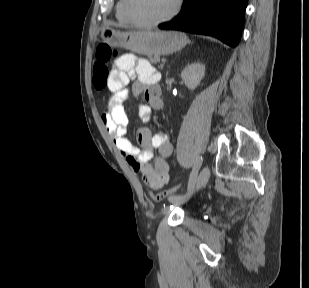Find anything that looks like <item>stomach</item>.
I'll use <instances>...</instances> for the list:
<instances>
[{"mask_svg": "<svg viewBox=\"0 0 309 288\" xmlns=\"http://www.w3.org/2000/svg\"><path fill=\"white\" fill-rule=\"evenodd\" d=\"M101 38L110 45L148 57L171 54L187 43L186 36L177 31H120L112 27L103 28Z\"/></svg>", "mask_w": 309, "mask_h": 288, "instance_id": "stomach-1", "label": "stomach"}]
</instances>
